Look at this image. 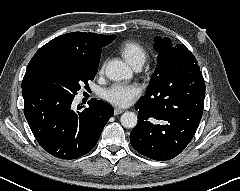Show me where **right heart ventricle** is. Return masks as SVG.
I'll use <instances>...</instances> for the list:
<instances>
[{
    "mask_svg": "<svg viewBox=\"0 0 240 191\" xmlns=\"http://www.w3.org/2000/svg\"><path fill=\"white\" fill-rule=\"evenodd\" d=\"M120 54L130 64L144 63L147 58L146 49L136 42H125L119 47Z\"/></svg>",
    "mask_w": 240,
    "mask_h": 191,
    "instance_id": "right-heart-ventricle-1",
    "label": "right heart ventricle"
}]
</instances>
